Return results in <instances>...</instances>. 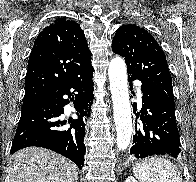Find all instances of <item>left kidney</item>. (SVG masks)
Returning a JSON list of instances; mask_svg holds the SVG:
<instances>
[{"label": "left kidney", "mask_w": 196, "mask_h": 182, "mask_svg": "<svg viewBox=\"0 0 196 182\" xmlns=\"http://www.w3.org/2000/svg\"><path fill=\"white\" fill-rule=\"evenodd\" d=\"M125 182H138V181L134 177L129 176V177H127Z\"/></svg>", "instance_id": "obj_1"}]
</instances>
